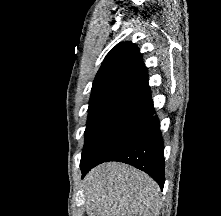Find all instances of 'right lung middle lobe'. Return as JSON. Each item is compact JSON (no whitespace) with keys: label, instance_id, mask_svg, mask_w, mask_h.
Masks as SVG:
<instances>
[{"label":"right lung middle lobe","instance_id":"dd1d6c3e","mask_svg":"<svg viewBox=\"0 0 221 216\" xmlns=\"http://www.w3.org/2000/svg\"><path fill=\"white\" fill-rule=\"evenodd\" d=\"M150 115L119 114L87 122L81 166L99 164L138 138Z\"/></svg>","mask_w":221,"mask_h":216}]
</instances>
